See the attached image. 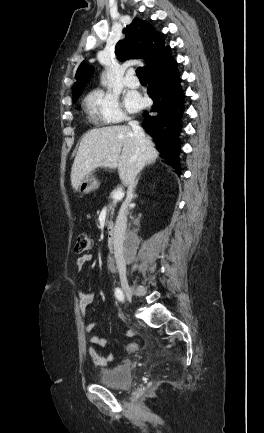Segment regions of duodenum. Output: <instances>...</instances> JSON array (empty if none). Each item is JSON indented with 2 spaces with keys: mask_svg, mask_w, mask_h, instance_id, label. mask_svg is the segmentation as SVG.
<instances>
[{
  "mask_svg": "<svg viewBox=\"0 0 264 433\" xmlns=\"http://www.w3.org/2000/svg\"><path fill=\"white\" fill-rule=\"evenodd\" d=\"M116 233L117 230L115 226L109 224L107 227V244L112 250L116 249Z\"/></svg>",
  "mask_w": 264,
  "mask_h": 433,
  "instance_id": "duodenum-1",
  "label": "duodenum"
}]
</instances>
